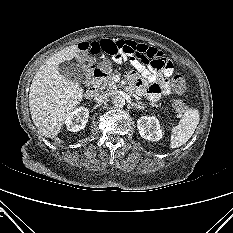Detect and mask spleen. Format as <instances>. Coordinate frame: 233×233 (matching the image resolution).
Returning a JSON list of instances; mask_svg holds the SVG:
<instances>
[{
  "label": "spleen",
  "mask_w": 233,
  "mask_h": 233,
  "mask_svg": "<svg viewBox=\"0 0 233 233\" xmlns=\"http://www.w3.org/2000/svg\"><path fill=\"white\" fill-rule=\"evenodd\" d=\"M199 121L198 109L190 108L186 110L179 124L172 128L170 147L178 148L185 144L194 134Z\"/></svg>",
  "instance_id": "obj_1"
}]
</instances>
